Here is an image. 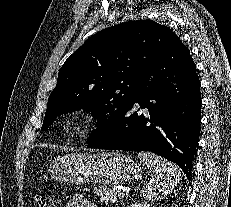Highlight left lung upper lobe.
<instances>
[{"label":"left lung upper lobe","instance_id":"left-lung-upper-lobe-1","mask_svg":"<svg viewBox=\"0 0 231 207\" xmlns=\"http://www.w3.org/2000/svg\"><path fill=\"white\" fill-rule=\"evenodd\" d=\"M176 39L171 29L151 20L121 23L93 35L60 68L42 130L58 115L84 109L98 118L88 143L111 135L138 96L141 74Z\"/></svg>","mask_w":231,"mask_h":207}]
</instances>
